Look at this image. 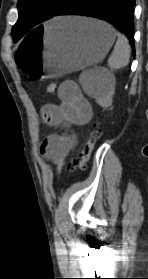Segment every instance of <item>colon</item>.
<instances>
[{"label":"colon","instance_id":"obj_1","mask_svg":"<svg viewBox=\"0 0 148 279\" xmlns=\"http://www.w3.org/2000/svg\"><path fill=\"white\" fill-rule=\"evenodd\" d=\"M46 89L48 93L54 94L58 91V86L56 83H50L47 85ZM100 135H101V130L99 126L94 125L89 131L85 141L81 146L79 152V159L69 167V170L71 172L85 169L87 162L89 161L91 154L95 148V145L100 138Z\"/></svg>","mask_w":148,"mask_h":279}]
</instances>
